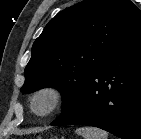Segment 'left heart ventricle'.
I'll return each mask as SVG.
<instances>
[{
	"label": "left heart ventricle",
	"mask_w": 141,
	"mask_h": 139,
	"mask_svg": "<svg viewBox=\"0 0 141 139\" xmlns=\"http://www.w3.org/2000/svg\"><path fill=\"white\" fill-rule=\"evenodd\" d=\"M47 100L45 98H42L39 102H38V108L39 109H43L46 106Z\"/></svg>",
	"instance_id": "left-heart-ventricle-1"
}]
</instances>
